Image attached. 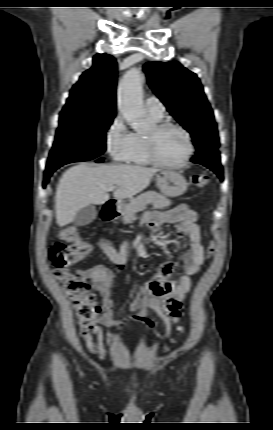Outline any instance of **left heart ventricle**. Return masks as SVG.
<instances>
[{
	"label": "left heart ventricle",
	"instance_id": "b2bd125f",
	"mask_svg": "<svg viewBox=\"0 0 273 430\" xmlns=\"http://www.w3.org/2000/svg\"><path fill=\"white\" fill-rule=\"evenodd\" d=\"M151 131L152 128L148 133ZM156 149L161 160L170 163L178 162L187 151L186 138L177 129H165L156 136Z\"/></svg>",
	"mask_w": 273,
	"mask_h": 430
}]
</instances>
